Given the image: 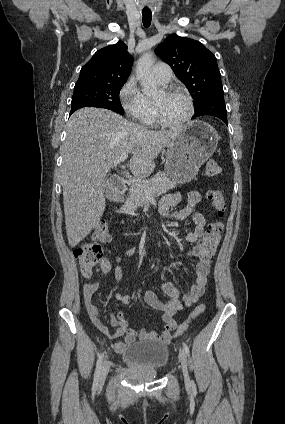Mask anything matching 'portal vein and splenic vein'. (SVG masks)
I'll return each mask as SVG.
<instances>
[{
  "instance_id": "obj_1",
  "label": "portal vein and splenic vein",
  "mask_w": 285,
  "mask_h": 424,
  "mask_svg": "<svg viewBox=\"0 0 285 424\" xmlns=\"http://www.w3.org/2000/svg\"><path fill=\"white\" fill-rule=\"evenodd\" d=\"M127 157H128V154L127 153L122 154L121 157L119 158V160L115 161L113 165L116 166L117 164H119V163L123 162L124 160H126ZM128 177L130 179V182L133 183V185H135V186H141L142 189L144 190L145 194L148 195V196H150V193L152 191L150 188H148L144 183H142L140 181H137L136 179L132 178L131 176L128 175Z\"/></svg>"
}]
</instances>
